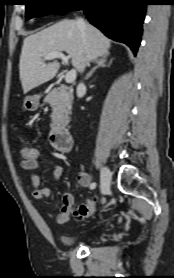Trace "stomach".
Returning a JSON list of instances; mask_svg holds the SVG:
<instances>
[{
    "mask_svg": "<svg viewBox=\"0 0 174 278\" xmlns=\"http://www.w3.org/2000/svg\"><path fill=\"white\" fill-rule=\"evenodd\" d=\"M39 106V96H27L24 101V107L28 110H36Z\"/></svg>",
    "mask_w": 174,
    "mask_h": 278,
    "instance_id": "1",
    "label": "stomach"
}]
</instances>
